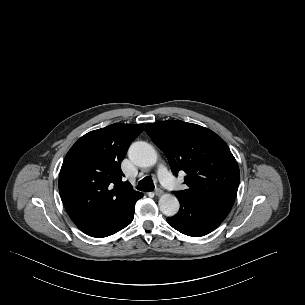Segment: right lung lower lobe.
I'll use <instances>...</instances> for the list:
<instances>
[{
  "instance_id": "obj_1",
  "label": "right lung lower lobe",
  "mask_w": 305,
  "mask_h": 305,
  "mask_svg": "<svg viewBox=\"0 0 305 305\" xmlns=\"http://www.w3.org/2000/svg\"><path fill=\"white\" fill-rule=\"evenodd\" d=\"M135 203H133L127 209H125L120 214L115 216L113 219L108 221L106 224L85 228L82 229V231L87 235L102 238V237L110 236L122 230L123 228L128 226L133 220V215L135 212Z\"/></svg>"
}]
</instances>
